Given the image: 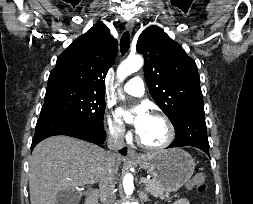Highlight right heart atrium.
<instances>
[{"label":"right heart atrium","mask_w":253,"mask_h":204,"mask_svg":"<svg viewBox=\"0 0 253 204\" xmlns=\"http://www.w3.org/2000/svg\"><path fill=\"white\" fill-rule=\"evenodd\" d=\"M106 126L109 135L118 141H124L128 139L129 133L126 130L123 123L117 119L112 112H108L106 115Z\"/></svg>","instance_id":"d8ad5b80"}]
</instances>
